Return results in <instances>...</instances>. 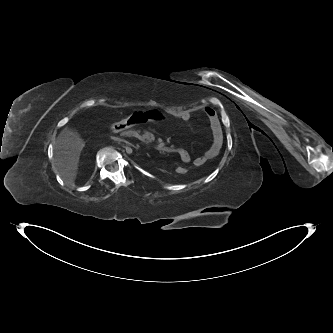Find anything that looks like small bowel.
<instances>
[{
  "label": "small bowel",
  "mask_w": 333,
  "mask_h": 333,
  "mask_svg": "<svg viewBox=\"0 0 333 333\" xmlns=\"http://www.w3.org/2000/svg\"><path fill=\"white\" fill-rule=\"evenodd\" d=\"M205 114L210 123L213 139H212V143L209 146V148L201 156L196 157L194 159V164L196 166H202L207 161H209V160L213 159L215 156H217V154L220 151L222 141H223L221 126H220L219 118H218L216 111H214L210 107H206ZM193 115H194V112L186 110V111L179 112L176 115V118L180 121L185 122V121H188ZM175 152L178 154V156L183 164H188L191 161V156L187 150H185L183 148H177V149H175Z\"/></svg>",
  "instance_id": "c3829d8e"
}]
</instances>
